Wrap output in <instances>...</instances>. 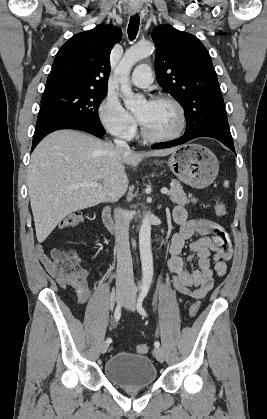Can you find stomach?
<instances>
[{"instance_id":"stomach-1","label":"stomach","mask_w":267,"mask_h":419,"mask_svg":"<svg viewBox=\"0 0 267 419\" xmlns=\"http://www.w3.org/2000/svg\"><path fill=\"white\" fill-rule=\"evenodd\" d=\"M167 164L180 181L197 189L209 186L219 171L215 154L201 144H185L177 147Z\"/></svg>"}]
</instances>
